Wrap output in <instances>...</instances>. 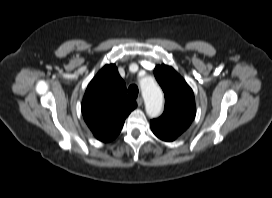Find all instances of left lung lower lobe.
Wrapping results in <instances>:
<instances>
[{
    "instance_id": "obj_1",
    "label": "left lung lower lobe",
    "mask_w": 272,
    "mask_h": 198,
    "mask_svg": "<svg viewBox=\"0 0 272 198\" xmlns=\"http://www.w3.org/2000/svg\"><path fill=\"white\" fill-rule=\"evenodd\" d=\"M152 128V131H153V133L159 138V139H161V140H163V141H173V140H175L177 137H174V136H172V135H169V134H167V133H165V132H163V131H161V130H158V129H156V128H153V127H151Z\"/></svg>"
}]
</instances>
